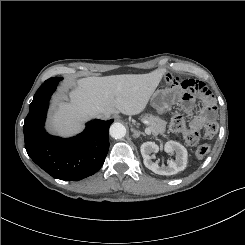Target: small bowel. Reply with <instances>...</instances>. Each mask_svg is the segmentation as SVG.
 <instances>
[{"mask_svg":"<svg viewBox=\"0 0 245 245\" xmlns=\"http://www.w3.org/2000/svg\"><path fill=\"white\" fill-rule=\"evenodd\" d=\"M171 81L178 85V87L182 90H185L186 93L190 96L195 95L196 93L199 94L200 98L204 101H207L211 98L212 93L211 91L202 83L197 82L192 79H187L185 77H172ZM186 108L189 110L191 108L189 100H187ZM214 116V110L212 107L207 106L204 111L195 116L191 123V129L198 130L200 129L205 121Z\"/></svg>","mask_w":245,"mask_h":245,"instance_id":"1","label":"small bowel"}]
</instances>
